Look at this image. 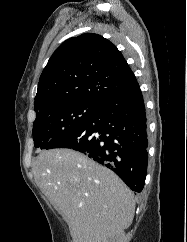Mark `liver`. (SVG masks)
I'll use <instances>...</instances> for the list:
<instances>
[{
	"mask_svg": "<svg viewBox=\"0 0 187 242\" xmlns=\"http://www.w3.org/2000/svg\"><path fill=\"white\" fill-rule=\"evenodd\" d=\"M36 183L69 225L73 242H105L134 217L131 190L111 170L69 149L40 153Z\"/></svg>",
	"mask_w": 187,
	"mask_h": 242,
	"instance_id": "1",
	"label": "liver"
}]
</instances>
